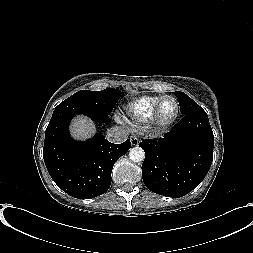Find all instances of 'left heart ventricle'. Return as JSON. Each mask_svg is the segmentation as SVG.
<instances>
[{
    "label": "left heart ventricle",
    "instance_id": "obj_1",
    "mask_svg": "<svg viewBox=\"0 0 253 253\" xmlns=\"http://www.w3.org/2000/svg\"><path fill=\"white\" fill-rule=\"evenodd\" d=\"M176 111L175 102L172 99H166L163 101L161 108H160V118L162 120L170 119Z\"/></svg>",
    "mask_w": 253,
    "mask_h": 253
}]
</instances>
